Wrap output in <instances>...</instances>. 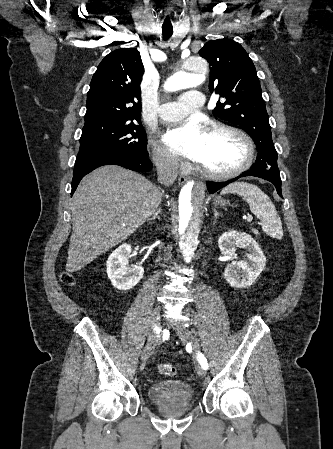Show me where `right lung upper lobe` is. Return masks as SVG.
I'll use <instances>...</instances> for the list:
<instances>
[{
  "label": "right lung upper lobe",
  "instance_id": "obj_1",
  "mask_svg": "<svg viewBox=\"0 0 333 449\" xmlns=\"http://www.w3.org/2000/svg\"><path fill=\"white\" fill-rule=\"evenodd\" d=\"M143 73L137 49L123 48L108 54L92 77L84 126L140 120Z\"/></svg>",
  "mask_w": 333,
  "mask_h": 449
}]
</instances>
